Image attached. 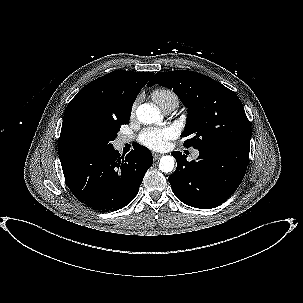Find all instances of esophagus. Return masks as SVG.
<instances>
[{"label":"esophagus","instance_id":"1","mask_svg":"<svg viewBox=\"0 0 303 303\" xmlns=\"http://www.w3.org/2000/svg\"><path fill=\"white\" fill-rule=\"evenodd\" d=\"M161 156H162V154L153 153V158H154V160H158Z\"/></svg>","mask_w":303,"mask_h":303}]
</instances>
